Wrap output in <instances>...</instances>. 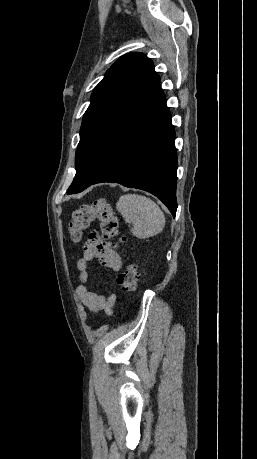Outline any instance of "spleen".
Instances as JSON below:
<instances>
[{
  "instance_id": "spleen-1",
  "label": "spleen",
  "mask_w": 257,
  "mask_h": 459,
  "mask_svg": "<svg viewBox=\"0 0 257 459\" xmlns=\"http://www.w3.org/2000/svg\"><path fill=\"white\" fill-rule=\"evenodd\" d=\"M117 211L126 223L131 224V233L145 239L160 233L165 226V216L160 207L150 198L139 194L120 196Z\"/></svg>"
}]
</instances>
